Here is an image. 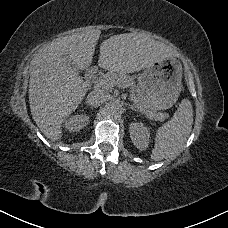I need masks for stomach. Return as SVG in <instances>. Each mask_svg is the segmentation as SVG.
Segmentation results:
<instances>
[{
	"instance_id": "obj_1",
	"label": "stomach",
	"mask_w": 228,
	"mask_h": 228,
	"mask_svg": "<svg viewBox=\"0 0 228 228\" xmlns=\"http://www.w3.org/2000/svg\"><path fill=\"white\" fill-rule=\"evenodd\" d=\"M182 65L172 57L146 68L138 75L137 96L150 110L171 108L182 90Z\"/></svg>"
}]
</instances>
